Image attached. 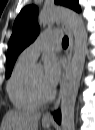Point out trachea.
I'll list each match as a JSON object with an SVG mask.
<instances>
[{
  "mask_svg": "<svg viewBox=\"0 0 95 130\" xmlns=\"http://www.w3.org/2000/svg\"><path fill=\"white\" fill-rule=\"evenodd\" d=\"M68 44H69V39H68L67 36H65V37L63 38V40H62V45H63L64 47H67Z\"/></svg>",
  "mask_w": 95,
  "mask_h": 130,
  "instance_id": "obj_1",
  "label": "trachea"
}]
</instances>
